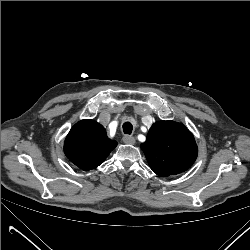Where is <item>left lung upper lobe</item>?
Here are the masks:
<instances>
[{
  "instance_id": "obj_1",
  "label": "left lung upper lobe",
  "mask_w": 250,
  "mask_h": 250,
  "mask_svg": "<svg viewBox=\"0 0 250 250\" xmlns=\"http://www.w3.org/2000/svg\"><path fill=\"white\" fill-rule=\"evenodd\" d=\"M141 149L150 168L163 177L186 171L198 154L192 133L185 125L175 121L154 123Z\"/></svg>"
}]
</instances>
